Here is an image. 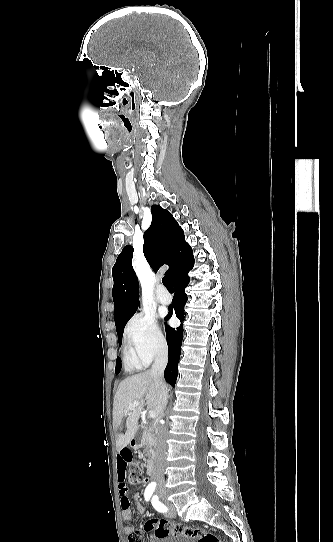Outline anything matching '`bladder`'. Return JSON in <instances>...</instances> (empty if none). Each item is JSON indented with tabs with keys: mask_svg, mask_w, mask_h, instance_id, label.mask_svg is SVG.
<instances>
[{
	"mask_svg": "<svg viewBox=\"0 0 333 542\" xmlns=\"http://www.w3.org/2000/svg\"><path fill=\"white\" fill-rule=\"evenodd\" d=\"M157 542H196L193 538H187L184 535H167L161 537Z\"/></svg>",
	"mask_w": 333,
	"mask_h": 542,
	"instance_id": "1",
	"label": "bladder"
}]
</instances>
